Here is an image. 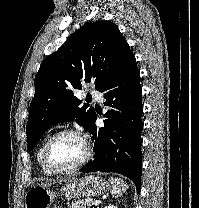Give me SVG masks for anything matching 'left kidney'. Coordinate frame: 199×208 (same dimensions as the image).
Returning a JSON list of instances; mask_svg holds the SVG:
<instances>
[{"label": "left kidney", "mask_w": 199, "mask_h": 208, "mask_svg": "<svg viewBox=\"0 0 199 208\" xmlns=\"http://www.w3.org/2000/svg\"><path fill=\"white\" fill-rule=\"evenodd\" d=\"M104 208H118V207L115 205H108V206H105Z\"/></svg>", "instance_id": "obj_1"}]
</instances>
